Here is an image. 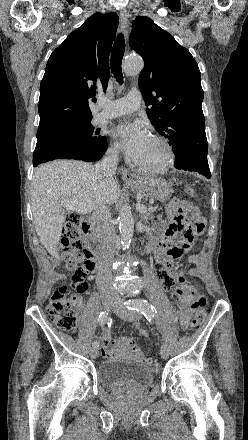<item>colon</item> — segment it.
<instances>
[{
	"instance_id": "1",
	"label": "colon",
	"mask_w": 248,
	"mask_h": 440,
	"mask_svg": "<svg viewBox=\"0 0 248 440\" xmlns=\"http://www.w3.org/2000/svg\"><path fill=\"white\" fill-rule=\"evenodd\" d=\"M186 193L189 196H194L195 189L192 186H187ZM188 219L190 228L195 232L200 233L204 230V221L193 206L188 212ZM82 230L83 224H81L79 216L75 213L67 214L59 249L67 267L73 271L71 285L75 292L70 293L66 287H60L54 291L46 307L49 320L58 328L64 330H70L76 326L80 295L88 291L87 275L95 268L93 255L82 240ZM205 304L204 296L198 294L194 301L196 314L190 322L189 328L198 329L203 325L205 321ZM140 335L143 338H148L149 331L141 329Z\"/></svg>"
}]
</instances>
